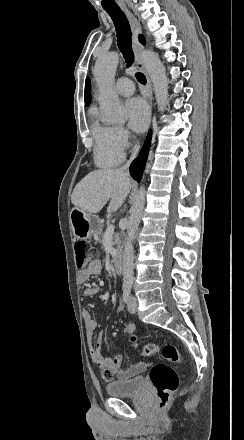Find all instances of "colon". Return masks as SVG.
<instances>
[{"label": "colon", "instance_id": "obj_1", "mask_svg": "<svg viewBox=\"0 0 244 440\" xmlns=\"http://www.w3.org/2000/svg\"><path fill=\"white\" fill-rule=\"evenodd\" d=\"M97 256V250L94 247L89 248L84 240H79L75 244V262L79 270L86 268L87 263L92 261ZM136 324L133 322L129 324L124 332L126 335L129 331L134 330ZM132 345L137 346L135 339H131ZM139 355L143 357L152 356L155 354L161 355L165 360L170 362H181L182 355L177 346L171 344L159 345L155 343H147L141 346L138 351ZM151 381L154 385L156 396L159 400L158 407L161 410L166 409L167 403L170 401L173 391L178 387L179 380L177 374L165 364L153 365L151 367ZM104 379L112 381L113 375L105 372Z\"/></svg>", "mask_w": 244, "mask_h": 440}]
</instances>
